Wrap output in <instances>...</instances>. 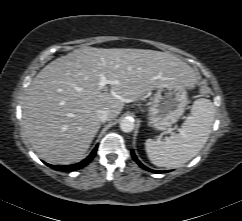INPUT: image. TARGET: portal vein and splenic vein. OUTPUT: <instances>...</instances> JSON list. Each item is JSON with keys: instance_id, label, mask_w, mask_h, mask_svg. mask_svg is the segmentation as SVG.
<instances>
[{"instance_id": "18ae733b", "label": "portal vein and splenic vein", "mask_w": 242, "mask_h": 221, "mask_svg": "<svg viewBox=\"0 0 242 221\" xmlns=\"http://www.w3.org/2000/svg\"><path fill=\"white\" fill-rule=\"evenodd\" d=\"M111 83L112 82L110 80L106 79L105 76L101 75L100 81H99V88L102 89L103 87Z\"/></svg>"}]
</instances>
